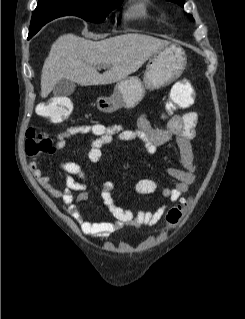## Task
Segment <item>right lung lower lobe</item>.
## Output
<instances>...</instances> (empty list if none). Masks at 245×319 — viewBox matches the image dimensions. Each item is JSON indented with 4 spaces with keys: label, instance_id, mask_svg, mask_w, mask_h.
I'll list each match as a JSON object with an SVG mask.
<instances>
[{
    "label": "right lung lower lobe",
    "instance_id": "right-lung-lower-lobe-1",
    "mask_svg": "<svg viewBox=\"0 0 245 319\" xmlns=\"http://www.w3.org/2000/svg\"><path fill=\"white\" fill-rule=\"evenodd\" d=\"M32 36H33V35H30V34H29V37H28V38H30V37H32Z\"/></svg>",
    "mask_w": 245,
    "mask_h": 319
}]
</instances>
